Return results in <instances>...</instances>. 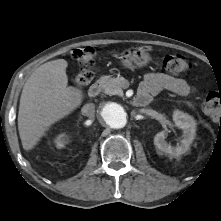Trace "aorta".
<instances>
[{
	"label": "aorta",
	"mask_w": 221,
	"mask_h": 221,
	"mask_svg": "<svg viewBox=\"0 0 221 221\" xmlns=\"http://www.w3.org/2000/svg\"><path fill=\"white\" fill-rule=\"evenodd\" d=\"M102 121L112 128H123L127 123V112L118 103H106L100 111Z\"/></svg>",
	"instance_id": "1"
}]
</instances>
